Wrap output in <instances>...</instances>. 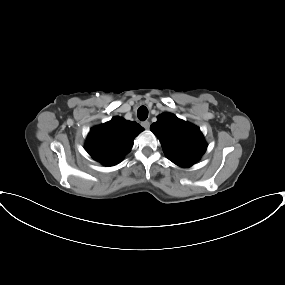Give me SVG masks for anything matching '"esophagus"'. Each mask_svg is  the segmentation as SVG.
<instances>
[{
    "mask_svg": "<svg viewBox=\"0 0 285 285\" xmlns=\"http://www.w3.org/2000/svg\"><path fill=\"white\" fill-rule=\"evenodd\" d=\"M141 125H142L145 129H149V127H150L149 121H144V122L141 123Z\"/></svg>",
    "mask_w": 285,
    "mask_h": 285,
    "instance_id": "obj_1",
    "label": "esophagus"
}]
</instances>
